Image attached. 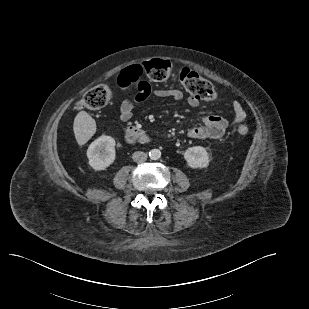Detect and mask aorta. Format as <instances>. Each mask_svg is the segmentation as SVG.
I'll list each match as a JSON object with an SVG mask.
<instances>
[{"mask_svg": "<svg viewBox=\"0 0 309 309\" xmlns=\"http://www.w3.org/2000/svg\"><path fill=\"white\" fill-rule=\"evenodd\" d=\"M149 157L152 160H158L161 158V151L159 149H151L149 151Z\"/></svg>", "mask_w": 309, "mask_h": 309, "instance_id": "aorta-1", "label": "aorta"}]
</instances>
